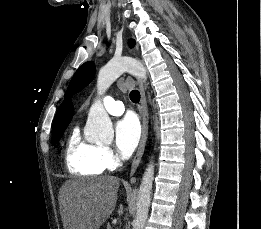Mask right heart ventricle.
Instances as JSON below:
<instances>
[{
    "label": "right heart ventricle",
    "mask_w": 261,
    "mask_h": 229,
    "mask_svg": "<svg viewBox=\"0 0 261 229\" xmlns=\"http://www.w3.org/2000/svg\"><path fill=\"white\" fill-rule=\"evenodd\" d=\"M100 148V145L84 139L77 130L73 131L65 146V163L68 170L76 175L100 174Z\"/></svg>",
    "instance_id": "obj_1"
}]
</instances>
